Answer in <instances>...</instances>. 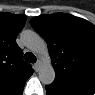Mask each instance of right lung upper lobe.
I'll return each instance as SVG.
<instances>
[{
  "instance_id": "1",
  "label": "right lung upper lobe",
  "mask_w": 95,
  "mask_h": 95,
  "mask_svg": "<svg viewBox=\"0 0 95 95\" xmlns=\"http://www.w3.org/2000/svg\"><path fill=\"white\" fill-rule=\"evenodd\" d=\"M25 22V16L0 13V95H21L34 72L16 43Z\"/></svg>"
}]
</instances>
